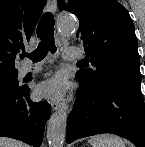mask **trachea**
I'll return each mask as SVG.
<instances>
[{
  "mask_svg": "<svg viewBox=\"0 0 145 147\" xmlns=\"http://www.w3.org/2000/svg\"><path fill=\"white\" fill-rule=\"evenodd\" d=\"M37 37L41 40L38 47L31 54L23 53L22 58L29 57L33 62L43 60L48 51L51 53L56 52L55 40H54V17L50 12L45 13L38 24Z\"/></svg>",
  "mask_w": 145,
  "mask_h": 147,
  "instance_id": "1",
  "label": "trachea"
}]
</instances>
